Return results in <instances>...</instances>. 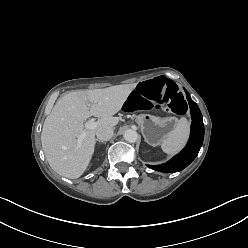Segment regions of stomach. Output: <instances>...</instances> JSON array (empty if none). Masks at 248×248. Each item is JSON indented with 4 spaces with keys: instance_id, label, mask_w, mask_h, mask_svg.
Wrapping results in <instances>:
<instances>
[{
    "instance_id": "1",
    "label": "stomach",
    "mask_w": 248,
    "mask_h": 248,
    "mask_svg": "<svg viewBox=\"0 0 248 248\" xmlns=\"http://www.w3.org/2000/svg\"><path fill=\"white\" fill-rule=\"evenodd\" d=\"M136 121L141 128L145 142L154 147L162 144L178 123L176 116L172 114L164 118L151 114H140Z\"/></svg>"
}]
</instances>
